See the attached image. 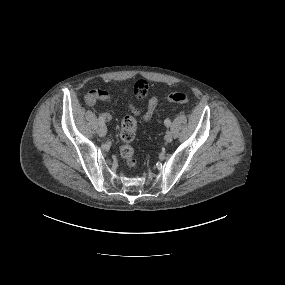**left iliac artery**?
<instances>
[{"mask_svg": "<svg viewBox=\"0 0 285 285\" xmlns=\"http://www.w3.org/2000/svg\"><path fill=\"white\" fill-rule=\"evenodd\" d=\"M164 124H165L166 127H169V126L171 125V122H170L169 119H166V120L164 121Z\"/></svg>", "mask_w": 285, "mask_h": 285, "instance_id": "44dca946", "label": "left iliac artery"}]
</instances>
